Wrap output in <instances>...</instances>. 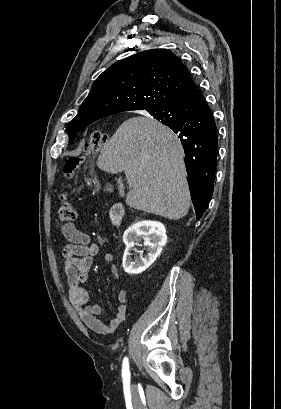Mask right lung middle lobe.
I'll return each mask as SVG.
<instances>
[{
    "instance_id": "dd1d6c3e",
    "label": "right lung middle lobe",
    "mask_w": 281,
    "mask_h": 409,
    "mask_svg": "<svg viewBox=\"0 0 281 409\" xmlns=\"http://www.w3.org/2000/svg\"><path fill=\"white\" fill-rule=\"evenodd\" d=\"M157 120L163 123L164 125H166L170 121L169 118H158ZM81 129H83V127H68L67 128V133L70 138L69 143H72V141L74 140L75 134Z\"/></svg>"
}]
</instances>
